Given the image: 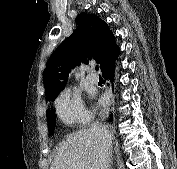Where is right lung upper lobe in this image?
<instances>
[{"label": "right lung upper lobe", "instance_id": "1", "mask_svg": "<svg viewBox=\"0 0 177 169\" xmlns=\"http://www.w3.org/2000/svg\"><path fill=\"white\" fill-rule=\"evenodd\" d=\"M78 27L65 39L49 59L43 75L46 101L54 100L64 89L69 73L81 63L95 59L101 71L115 63L120 52L108 25L99 17L81 13Z\"/></svg>", "mask_w": 177, "mask_h": 169}]
</instances>
